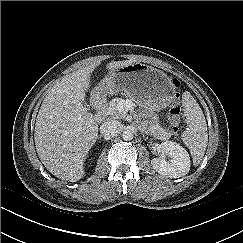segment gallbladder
<instances>
[{
    "label": "gallbladder",
    "mask_w": 243,
    "mask_h": 243,
    "mask_svg": "<svg viewBox=\"0 0 243 243\" xmlns=\"http://www.w3.org/2000/svg\"><path fill=\"white\" fill-rule=\"evenodd\" d=\"M84 106L87 108V110L90 109L89 105L88 104H84Z\"/></svg>",
    "instance_id": "1"
}]
</instances>
